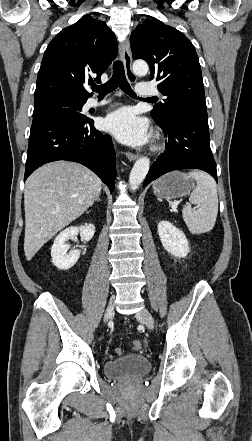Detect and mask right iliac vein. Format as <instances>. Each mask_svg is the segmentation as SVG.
I'll return each instance as SVG.
<instances>
[{
	"mask_svg": "<svg viewBox=\"0 0 252 441\" xmlns=\"http://www.w3.org/2000/svg\"><path fill=\"white\" fill-rule=\"evenodd\" d=\"M113 314H114V303H113V300H111L109 302L107 309H106L104 321L107 322L108 319L113 316Z\"/></svg>",
	"mask_w": 252,
	"mask_h": 441,
	"instance_id": "1",
	"label": "right iliac vein"
}]
</instances>
